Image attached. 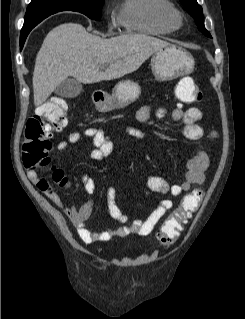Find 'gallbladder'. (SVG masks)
I'll list each match as a JSON object with an SVG mask.
<instances>
[{"mask_svg":"<svg viewBox=\"0 0 245 319\" xmlns=\"http://www.w3.org/2000/svg\"><path fill=\"white\" fill-rule=\"evenodd\" d=\"M82 92V84L73 78L62 81L55 89L58 96L64 98H75Z\"/></svg>","mask_w":245,"mask_h":319,"instance_id":"bac80fb5","label":"gallbladder"}]
</instances>
